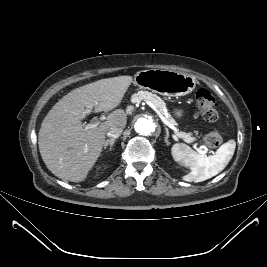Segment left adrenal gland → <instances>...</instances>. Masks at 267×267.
Masks as SVG:
<instances>
[{
	"label": "left adrenal gland",
	"mask_w": 267,
	"mask_h": 267,
	"mask_svg": "<svg viewBox=\"0 0 267 267\" xmlns=\"http://www.w3.org/2000/svg\"><path fill=\"white\" fill-rule=\"evenodd\" d=\"M164 128H165V131H166L165 142H166V144H169V141H168L169 132H168V129H167V127L165 125H164Z\"/></svg>",
	"instance_id": "left-adrenal-gland-1"
}]
</instances>
